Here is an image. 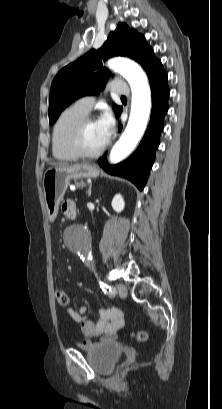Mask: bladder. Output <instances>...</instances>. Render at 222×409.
Instances as JSON below:
<instances>
[{"label": "bladder", "instance_id": "1", "mask_svg": "<svg viewBox=\"0 0 222 409\" xmlns=\"http://www.w3.org/2000/svg\"><path fill=\"white\" fill-rule=\"evenodd\" d=\"M122 354L123 348L118 343L105 342L88 349L87 359L95 371L108 374L114 369Z\"/></svg>", "mask_w": 222, "mask_h": 409}]
</instances>
